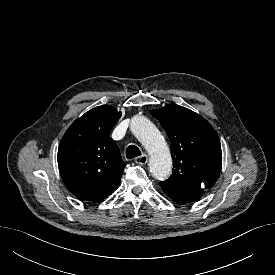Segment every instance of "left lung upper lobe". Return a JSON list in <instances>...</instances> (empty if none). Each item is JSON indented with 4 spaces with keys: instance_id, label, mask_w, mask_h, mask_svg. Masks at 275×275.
<instances>
[{
    "instance_id": "left-lung-upper-lobe-1",
    "label": "left lung upper lobe",
    "mask_w": 275,
    "mask_h": 275,
    "mask_svg": "<svg viewBox=\"0 0 275 275\" xmlns=\"http://www.w3.org/2000/svg\"><path fill=\"white\" fill-rule=\"evenodd\" d=\"M171 141L172 175L159 182L177 203L201 198L204 189L217 181L222 151L217 133L199 114L176 104L151 111Z\"/></svg>"
}]
</instances>
